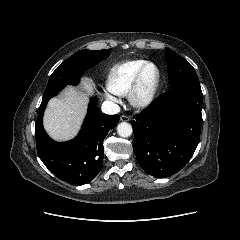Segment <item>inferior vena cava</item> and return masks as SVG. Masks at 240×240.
<instances>
[{
  "instance_id": "602c4592",
  "label": "inferior vena cava",
  "mask_w": 240,
  "mask_h": 240,
  "mask_svg": "<svg viewBox=\"0 0 240 240\" xmlns=\"http://www.w3.org/2000/svg\"><path fill=\"white\" fill-rule=\"evenodd\" d=\"M101 110L105 114L113 115L118 114L120 112V107L113 102L105 101L102 104Z\"/></svg>"
}]
</instances>
